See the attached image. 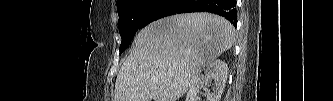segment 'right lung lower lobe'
Returning a JSON list of instances; mask_svg holds the SVG:
<instances>
[{"label": "right lung lower lobe", "mask_w": 333, "mask_h": 101, "mask_svg": "<svg viewBox=\"0 0 333 101\" xmlns=\"http://www.w3.org/2000/svg\"><path fill=\"white\" fill-rule=\"evenodd\" d=\"M187 12H211L237 26L236 0H159L149 10L143 27L157 19Z\"/></svg>", "instance_id": "right-lung-lower-lobe-1"}]
</instances>
